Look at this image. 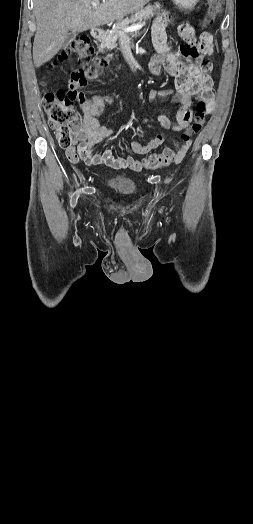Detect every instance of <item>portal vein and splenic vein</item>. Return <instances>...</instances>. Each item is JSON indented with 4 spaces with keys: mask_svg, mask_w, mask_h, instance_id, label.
<instances>
[{
    "mask_svg": "<svg viewBox=\"0 0 253 524\" xmlns=\"http://www.w3.org/2000/svg\"><path fill=\"white\" fill-rule=\"evenodd\" d=\"M98 5H99L98 2H92V6L93 7H97ZM144 24H145L144 22L143 23H137V24H135V25H133L131 27L125 28L124 31L129 32V31L138 30V29L142 28L144 26Z\"/></svg>",
    "mask_w": 253,
    "mask_h": 524,
    "instance_id": "1",
    "label": "portal vein and splenic vein"
}]
</instances>
